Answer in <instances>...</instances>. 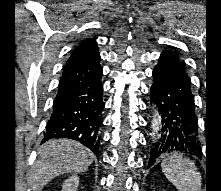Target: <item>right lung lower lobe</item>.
<instances>
[{
  "label": "right lung lower lobe",
  "mask_w": 221,
  "mask_h": 191,
  "mask_svg": "<svg viewBox=\"0 0 221 191\" xmlns=\"http://www.w3.org/2000/svg\"><path fill=\"white\" fill-rule=\"evenodd\" d=\"M100 54L67 62L59 82L43 141L69 138L99 155L100 128L105 103L102 98Z\"/></svg>",
  "instance_id": "98d812e1"
}]
</instances>
